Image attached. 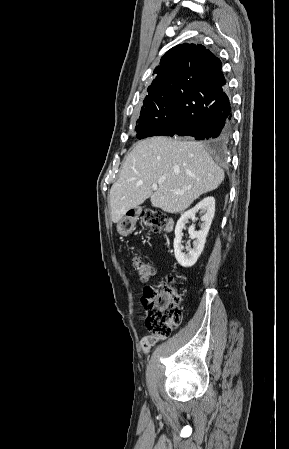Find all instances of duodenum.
Instances as JSON below:
<instances>
[{
    "label": "duodenum",
    "mask_w": 289,
    "mask_h": 449,
    "mask_svg": "<svg viewBox=\"0 0 289 449\" xmlns=\"http://www.w3.org/2000/svg\"><path fill=\"white\" fill-rule=\"evenodd\" d=\"M173 228V221L172 220H168V222L166 223L165 226V231L166 232H170Z\"/></svg>",
    "instance_id": "410a0bca"
}]
</instances>
